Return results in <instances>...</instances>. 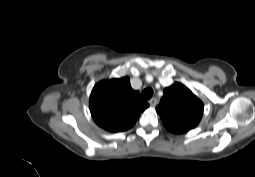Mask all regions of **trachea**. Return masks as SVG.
Masks as SVG:
<instances>
[{
  "instance_id": "1",
  "label": "trachea",
  "mask_w": 255,
  "mask_h": 177,
  "mask_svg": "<svg viewBox=\"0 0 255 177\" xmlns=\"http://www.w3.org/2000/svg\"><path fill=\"white\" fill-rule=\"evenodd\" d=\"M153 95V90L151 88H146L141 92L142 100H149Z\"/></svg>"
}]
</instances>
